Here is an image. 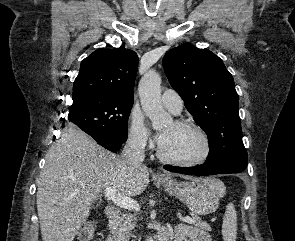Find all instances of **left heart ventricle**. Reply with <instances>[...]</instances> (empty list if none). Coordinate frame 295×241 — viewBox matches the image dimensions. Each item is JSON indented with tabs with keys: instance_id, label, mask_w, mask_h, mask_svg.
I'll list each match as a JSON object with an SVG mask.
<instances>
[{
	"instance_id": "left-heart-ventricle-1",
	"label": "left heart ventricle",
	"mask_w": 295,
	"mask_h": 241,
	"mask_svg": "<svg viewBox=\"0 0 295 241\" xmlns=\"http://www.w3.org/2000/svg\"><path fill=\"white\" fill-rule=\"evenodd\" d=\"M161 132L165 135L161 142L165 155L174 159L189 161L202 154L203 142L195 130L169 124Z\"/></svg>"
}]
</instances>
